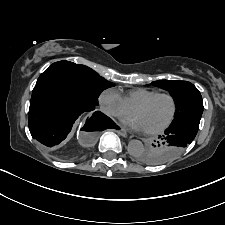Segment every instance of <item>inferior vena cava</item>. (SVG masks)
Masks as SVG:
<instances>
[{
  "label": "inferior vena cava",
  "mask_w": 225,
  "mask_h": 225,
  "mask_svg": "<svg viewBox=\"0 0 225 225\" xmlns=\"http://www.w3.org/2000/svg\"><path fill=\"white\" fill-rule=\"evenodd\" d=\"M101 110H102L103 112H105V113H109L108 109L105 108V107H102Z\"/></svg>",
  "instance_id": "1"
}]
</instances>
